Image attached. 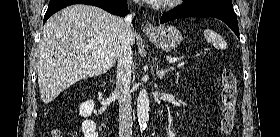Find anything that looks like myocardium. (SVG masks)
I'll return each instance as SVG.
<instances>
[{"label": "myocardium", "instance_id": "f54148a6", "mask_svg": "<svg viewBox=\"0 0 280 137\" xmlns=\"http://www.w3.org/2000/svg\"><path fill=\"white\" fill-rule=\"evenodd\" d=\"M179 2V0H171L170 3L166 4V5H172L174 3H177ZM170 27H173V26H170Z\"/></svg>", "mask_w": 280, "mask_h": 137}]
</instances>
